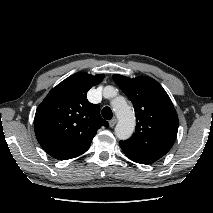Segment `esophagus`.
Returning <instances> with one entry per match:
<instances>
[{"mask_svg": "<svg viewBox=\"0 0 213 213\" xmlns=\"http://www.w3.org/2000/svg\"><path fill=\"white\" fill-rule=\"evenodd\" d=\"M116 123H117V119H116V118H113V119H111V120L109 121V126H110V127H114Z\"/></svg>", "mask_w": 213, "mask_h": 213, "instance_id": "obj_1", "label": "esophagus"}]
</instances>
